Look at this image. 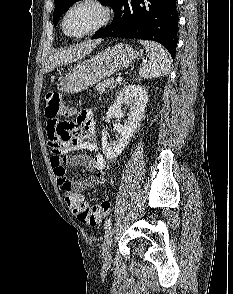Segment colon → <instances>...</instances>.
Here are the masks:
<instances>
[{
	"label": "colon",
	"mask_w": 233,
	"mask_h": 294,
	"mask_svg": "<svg viewBox=\"0 0 233 294\" xmlns=\"http://www.w3.org/2000/svg\"><path fill=\"white\" fill-rule=\"evenodd\" d=\"M58 110H65V115L70 116L75 113V109L65 104L57 92L51 91L46 94L45 115L46 117H56ZM64 198L67 206L77 219L83 224L97 226L108 214L111 204L103 201L100 204L89 206L81 194L66 190Z\"/></svg>",
	"instance_id": "5ec220e1"
}]
</instances>
